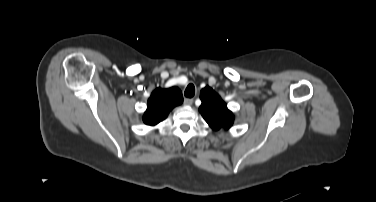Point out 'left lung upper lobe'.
<instances>
[{
  "label": "left lung upper lobe",
  "mask_w": 376,
  "mask_h": 202,
  "mask_svg": "<svg viewBox=\"0 0 376 202\" xmlns=\"http://www.w3.org/2000/svg\"><path fill=\"white\" fill-rule=\"evenodd\" d=\"M200 99L202 104L199 111L213 130L221 128L228 130L232 126L234 122L233 113L212 88L209 86L203 88L200 92Z\"/></svg>",
  "instance_id": "1"
}]
</instances>
